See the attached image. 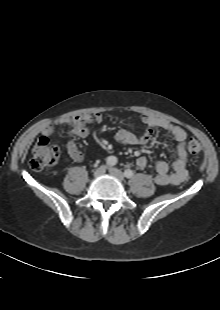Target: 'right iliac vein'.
Returning <instances> with one entry per match:
<instances>
[{"label":"right iliac vein","instance_id":"obj_1","mask_svg":"<svg viewBox=\"0 0 220 310\" xmlns=\"http://www.w3.org/2000/svg\"><path fill=\"white\" fill-rule=\"evenodd\" d=\"M106 171V166H100L99 168H97L94 172V176L95 177H99L102 176Z\"/></svg>","mask_w":220,"mask_h":310}]
</instances>
